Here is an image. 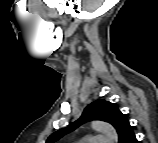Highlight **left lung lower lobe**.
<instances>
[{
    "label": "left lung lower lobe",
    "instance_id": "1",
    "mask_svg": "<svg viewBox=\"0 0 158 143\" xmlns=\"http://www.w3.org/2000/svg\"><path fill=\"white\" fill-rule=\"evenodd\" d=\"M125 143H137V139H136L135 135L129 137V138L125 141Z\"/></svg>",
    "mask_w": 158,
    "mask_h": 143
}]
</instances>
